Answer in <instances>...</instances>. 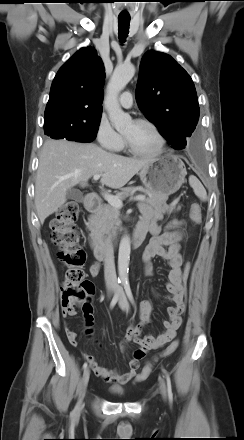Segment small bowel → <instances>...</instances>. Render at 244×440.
I'll return each instance as SVG.
<instances>
[{
  "instance_id": "1",
  "label": "small bowel",
  "mask_w": 244,
  "mask_h": 440,
  "mask_svg": "<svg viewBox=\"0 0 244 440\" xmlns=\"http://www.w3.org/2000/svg\"><path fill=\"white\" fill-rule=\"evenodd\" d=\"M141 220L138 226H146L152 237L145 249L143 259L145 262V270L147 275H152V259L159 256L166 260L170 267L169 283L167 285L170 294L169 299L173 306L168 307L169 320L163 322L164 331L159 335L148 334L143 338L140 337L142 325L151 322V314L153 304L149 300H144L139 306L140 325L131 324L124 336L121 347L132 342L138 346H146L148 349H157L170 342L176 335L177 329L182 323V305L184 296V284L182 279V256L180 254V241L183 233L178 229L182 222L173 219L164 229L158 225V221L164 216V210L161 205H150L143 203L140 205ZM167 246V248H165ZM99 265L94 263L90 266V274L96 276L99 272ZM84 333L88 339H92L94 335V311L83 309ZM65 331L70 343L74 346L78 344L77 334L70 330L65 324ZM84 358L91 365L94 373L103 378L106 382L123 385L132 380L136 376V371L140 366L139 358L133 355L129 361V370L121 373L115 369H108L100 365L95 357L91 354H84Z\"/></svg>"
}]
</instances>
